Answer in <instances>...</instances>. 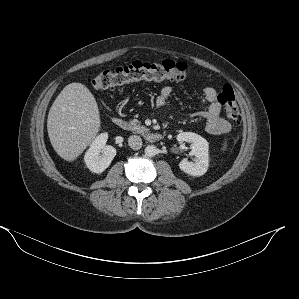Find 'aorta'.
<instances>
[{"instance_id":"1","label":"aorta","mask_w":299,"mask_h":299,"mask_svg":"<svg viewBox=\"0 0 299 299\" xmlns=\"http://www.w3.org/2000/svg\"><path fill=\"white\" fill-rule=\"evenodd\" d=\"M157 153H158V149H157V147L154 146V145H148V146L145 148V155L148 156V157H153V156H155Z\"/></svg>"}]
</instances>
